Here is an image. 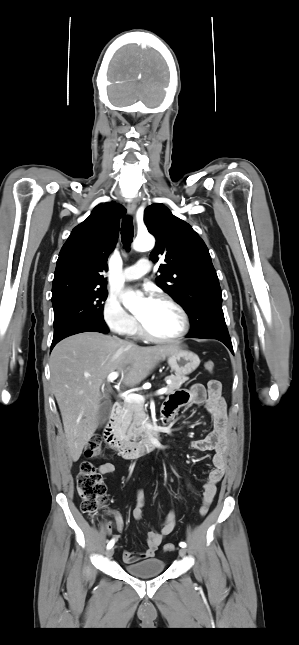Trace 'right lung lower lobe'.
Wrapping results in <instances>:
<instances>
[{"instance_id":"98d812e1","label":"right lung lower lobe","mask_w":299,"mask_h":645,"mask_svg":"<svg viewBox=\"0 0 299 645\" xmlns=\"http://www.w3.org/2000/svg\"><path fill=\"white\" fill-rule=\"evenodd\" d=\"M100 332V333H108V329L106 326H98L95 324H81L79 326L73 327L64 333H62L60 336L53 338L51 349L62 339L65 337H68L70 335H74L77 333H82V332Z\"/></svg>"}]
</instances>
